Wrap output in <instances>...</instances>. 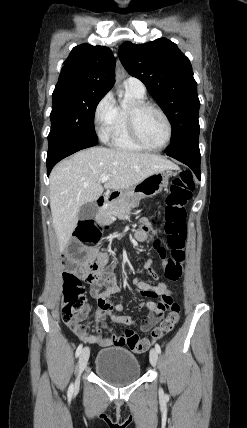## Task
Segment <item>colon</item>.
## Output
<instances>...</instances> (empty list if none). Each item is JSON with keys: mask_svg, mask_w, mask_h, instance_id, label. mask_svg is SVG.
Instances as JSON below:
<instances>
[{"mask_svg": "<svg viewBox=\"0 0 247 428\" xmlns=\"http://www.w3.org/2000/svg\"><path fill=\"white\" fill-rule=\"evenodd\" d=\"M194 189L195 182L189 172H182L173 180L165 209L167 247L162 246L159 240L154 242L163 262V276L169 281H177L183 273L186 258L184 249L186 241L185 205L191 198ZM100 231V227L95 226L93 222L84 221L77 229L76 242L96 243ZM65 258V264L70 271L63 276L62 319L74 331L82 332L85 326L81 321L87 314V306L85 290L80 277L75 273V268L79 265L76 263V259L83 260L81 265L84 273L83 279L90 284L100 280V265L89 253L79 250L77 245L71 246ZM143 306L149 309V318L139 323V326L145 334L153 329L151 337L140 338L137 331L127 329L123 334L110 338L114 345H126L136 353H143L148 350L154 340L161 339L170 333L179 320L180 306L173 299L154 298L145 301L144 298H139V308ZM98 315H104L101 308ZM95 336L100 339L98 333H95Z\"/></svg>", "mask_w": 247, "mask_h": 428, "instance_id": "colon-1", "label": "colon"}]
</instances>
